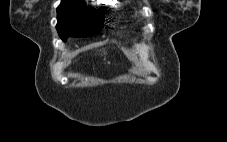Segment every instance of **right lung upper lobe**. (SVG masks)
Listing matches in <instances>:
<instances>
[{
  "label": "right lung upper lobe",
  "mask_w": 227,
  "mask_h": 142,
  "mask_svg": "<svg viewBox=\"0 0 227 142\" xmlns=\"http://www.w3.org/2000/svg\"><path fill=\"white\" fill-rule=\"evenodd\" d=\"M63 1H82V2H84L83 0H63Z\"/></svg>",
  "instance_id": "1"
}]
</instances>
